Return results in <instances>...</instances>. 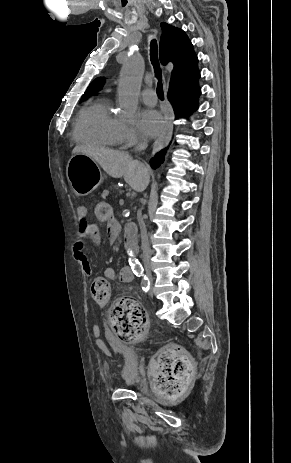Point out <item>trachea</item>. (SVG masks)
Masks as SVG:
<instances>
[{
    "label": "trachea",
    "mask_w": 291,
    "mask_h": 463,
    "mask_svg": "<svg viewBox=\"0 0 291 463\" xmlns=\"http://www.w3.org/2000/svg\"><path fill=\"white\" fill-rule=\"evenodd\" d=\"M150 59L151 63L154 67V72L156 77L158 78V83H157V94L158 97L163 100L164 99V93H163V84L161 81L162 78V70L159 65V60H158V47H157V42L156 40H152L150 44Z\"/></svg>",
    "instance_id": "trachea-1"
}]
</instances>
